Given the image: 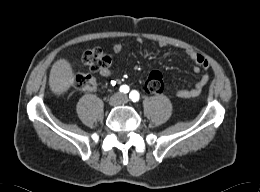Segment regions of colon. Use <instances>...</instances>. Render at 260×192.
<instances>
[{
  "mask_svg": "<svg viewBox=\"0 0 260 192\" xmlns=\"http://www.w3.org/2000/svg\"><path fill=\"white\" fill-rule=\"evenodd\" d=\"M82 61L92 71H101L111 64V58L98 47L85 50L82 54ZM74 84L82 91H93L97 87L95 78L87 73H77L74 76ZM143 90L150 94L161 93L164 90L162 74L158 71L151 72L143 84Z\"/></svg>",
  "mask_w": 260,
  "mask_h": 192,
  "instance_id": "colon-1",
  "label": "colon"
}]
</instances>
